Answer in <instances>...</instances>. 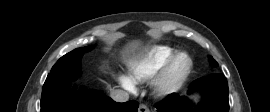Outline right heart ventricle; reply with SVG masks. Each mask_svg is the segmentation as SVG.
<instances>
[{
    "mask_svg": "<svg viewBox=\"0 0 270 112\" xmlns=\"http://www.w3.org/2000/svg\"><path fill=\"white\" fill-rule=\"evenodd\" d=\"M175 49L166 45H154L145 49L129 62V77L134 83L150 80Z\"/></svg>",
    "mask_w": 270,
    "mask_h": 112,
    "instance_id": "obj_1",
    "label": "right heart ventricle"
}]
</instances>
